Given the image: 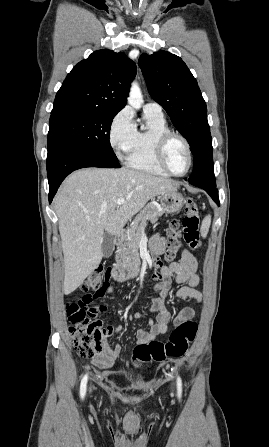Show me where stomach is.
Returning a JSON list of instances; mask_svg holds the SVG:
<instances>
[{"label": "stomach", "instance_id": "stomach-1", "mask_svg": "<svg viewBox=\"0 0 269 447\" xmlns=\"http://www.w3.org/2000/svg\"><path fill=\"white\" fill-rule=\"evenodd\" d=\"M160 202L165 214L180 212L185 204L182 194H178V192H164L161 194Z\"/></svg>", "mask_w": 269, "mask_h": 447}]
</instances>
